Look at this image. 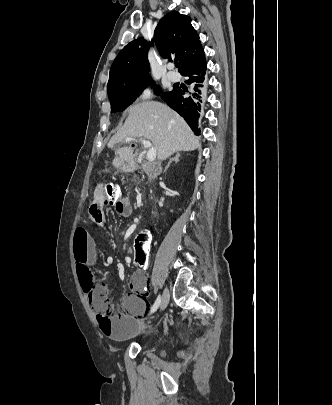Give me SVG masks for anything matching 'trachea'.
<instances>
[{"mask_svg": "<svg viewBox=\"0 0 332 405\" xmlns=\"http://www.w3.org/2000/svg\"><path fill=\"white\" fill-rule=\"evenodd\" d=\"M175 66L178 68L180 66V64L178 62H176Z\"/></svg>", "mask_w": 332, "mask_h": 405, "instance_id": "3493384b", "label": "trachea"}]
</instances>
